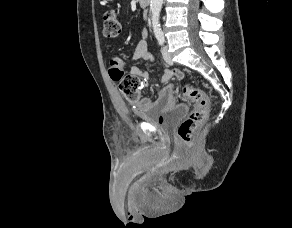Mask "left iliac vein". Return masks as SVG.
Wrapping results in <instances>:
<instances>
[{
	"label": "left iliac vein",
	"mask_w": 292,
	"mask_h": 228,
	"mask_svg": "<svg viewBox=\"0 0 292 228\" xmlns=\"http://www.w3.org/2000/svg\"><path fill=\"white\" fill-rule=\"evenodd\" d=\"M162 55H163V58L166 61V63H168L170 65L173 64V61H172L171 57L169 56L167 46H164L162 48Z\"/></svg>",
	"instance_id": "1"
}]
</instances>
